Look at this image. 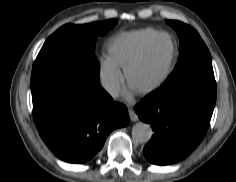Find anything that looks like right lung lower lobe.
Segmentation results:
<instances>
[{
    "mask_svg": "<svg viewBox=\"0 0 236 182\" xmlns=\"http://www.w3.org/2000/svg\"><path fill=\"white\" fill-rule=\"evenodd\" d=\"M33 116L49 149L61 160L84 163L103 147L109 133L129 123L127 108L100 86L61 80L32 89Z\"/></svg>",
    "mask_w": 236,
    "mask_h": 182,
    "instance_id": "1",
    "label": "right lung lower lobe"
}]
</instances>
